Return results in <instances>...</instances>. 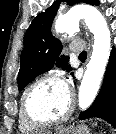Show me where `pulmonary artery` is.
Instances as JSON below:
<instances>
[{"label":"pulmonary artery","instance_id":"1","mask_svg":"<svg viewBox=\"0 0 116 134\" xmlns=\"http://www.w3.org/2000/svg\"><path fill=\"white\" fill-rule=\"evenodd\" d=\"M85 49V42L83 40H73L70 43V51L72 53H80Z\"/></svg>","mask_w":116,"mask_h":134}]
</instances>
